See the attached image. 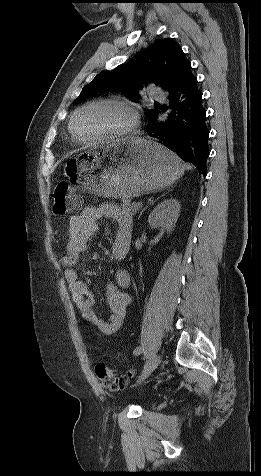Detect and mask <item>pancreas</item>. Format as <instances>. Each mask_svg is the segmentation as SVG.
Returning <instances> with one entry per match:
<instances>
[{
  "instance_id": "1",
  "label": "pancreas",
  "mask_w": 261,
  "mask_h": 476,
  "mask_svg": "<svg viewBox=\"0 0 261 476\" xmlns=\"http://www.w3.org/2000/svg\"><path fill=\"white\" fill-rule=\"evenodd\" d=\"M121 206L124 212L129 213L131 215L136 214L137 211L140 209V206H138V203L131 202L130 200H124Z\"/></svg>"
}]
</instances>
